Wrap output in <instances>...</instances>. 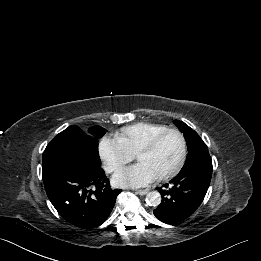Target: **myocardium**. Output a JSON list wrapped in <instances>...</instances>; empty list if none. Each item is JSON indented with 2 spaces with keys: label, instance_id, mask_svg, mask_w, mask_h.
I'll return each mask as SVG.
<instances>
[{
  "label": "myocardium",
  "instance_id": "1",
  "mask_svg": "<svg viewBox=\"0 0 261 261\" xmlns=\"http://www.w3.org/2000/svg\"><path fill=\"white\" fill-rule=\"evenodd\" d=\"M176 134L181 142V153H180V157L176 163V165L167 173L162 174L157 176L158 180H168L172 177H174L184 166L185 160H186V155H187V143L185 140L184 135L177 129L174 128H167L159 133H157L156 135H154L146 144H144L141 148H139L137 150V152L135 153V158H137L139 155L141 154H145L148 153L150 151H152L155 146L157 145V143L159 142V140L164 137L167 134Z\"/></svg>",
  "mask_w": 261,
  "mask_h": 261
}]
</instances>
